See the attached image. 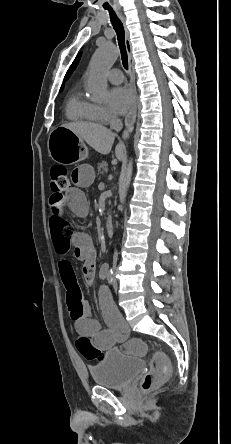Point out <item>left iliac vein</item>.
<instances>
[{
  "label": "left iliac vein",
  "mask_w": 231,
  "mask_h": 444,
  "mask_svg": "<svg viewBox=\"0 0 231 444\" xmlns=\"http://www.w3.org/2000/svg\"><path fill=\"white\" fill-rule=\"evenodd\" d=\"M114 287H115V288L117 287V283H116V282L114 283Z\"/></svg>",
  "instance_id": "4c4485c4"
}]
</instances>
